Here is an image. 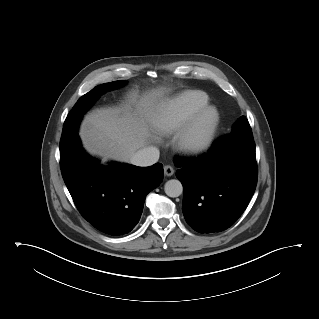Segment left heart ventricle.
Listing matches in <instances>:
<instances>
[{
	"instance_id": "obj_1",
	"label": "left heart ventricle",
	"mask_w": 319,
	"mask_h": 319,
	"mask_svg": "<svg viewBox=\"0 0 319 319\" xmlns=\"http://www.w3.org/2000/svg\"><path fill=\"white\" fill-rule=\"evenodd\" d=\"M213 118H214L213 113H208V114L205 116L204 120H203V125H202V126L208 125V124L213 120Z\"/></svg>"
}]
</instances>
